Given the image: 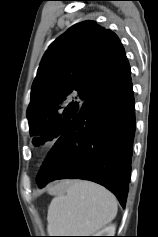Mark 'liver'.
I'll list each match as a JSON object with an SVG mask.
<instances>
[{
    "label": "liver",
    "instance_id": "6515ba94",
    "mask_svg": "<svg viewBox=\"0 0 158 237\" xmlns=\"http://www.w3.org/2000/svg\"><path fill=\"white\" fill-rule=\"evenodd\" d=\"M68 184H69L68 182L61 183V184H59L57 187H55V189H54L53 191H54V192L63 191L64 188H65Z\"/></svg>",
    "mask_w": 158,
    "mask_h": 237
}]
</instances>
